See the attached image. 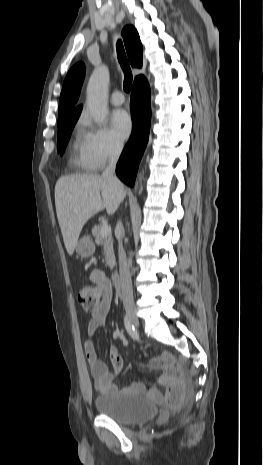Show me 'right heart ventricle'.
Masks as SVG:
<instances>
[{"instance_id":"right-heart-ventricle-1","label":"right heart ventricle","mask_w":263,"mask_h":465,"mask_svg":"<svg viewBox=\"0 0 263 465\" xmlns=\"http://www.w3.org/2000/svg\"><path fill=\"white\" fill-rule=\"evenodd\" d=\"M71 162L78 168L92 170L85 156L84 139L80 132L75 134L71 145Z\"/></svg>"}]
</instances>
